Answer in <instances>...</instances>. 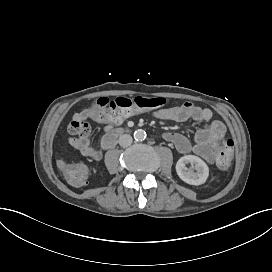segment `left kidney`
<instances>
[{"mask_svg": "<svg viewBox=\"0 0 272 272\" xmlns=\"http://www.w3.org/2000/svg\"><path fill=\"white\" fill-rule=\"evenodd\" d=\"M187 163L192 165L190 169L186 167ZM193 170H196V172ZM176 172L184 182L190 185H201L208 178L209 168L201 158L194 155H186L177 161Z\"/></svg>", "mask_w": 272, "mask_h": 272, "instance_id": "left-kidney-1", "label": "left kidney"}]
</instances>
